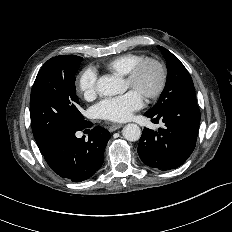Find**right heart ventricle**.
Returning a JSON list of instances; mask_svg holds the SVG:
<instances>
[{"instance_id":"1","label":"right heart ventricle","mask_w":232,"mask_h":232,"mask_svg":"<svg viewBox=\"0 0 232 232\" xmlns=\"http://www.w3.org/2000/svg\"><path fill=\"white\" fill-rule=\"evenodd\" d=\"M143 58L141 54L125 53L109 60L105 67L120 75H127L131 68Z\"/></svg>"}]
</instances>
